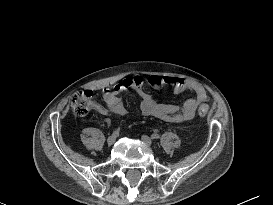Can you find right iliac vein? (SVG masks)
<instances>
[{
  "label": "right iliac vein",
  "mask_w": 273,
  "mask_h": 205,
  "mask_svg": "<svg viewBox=\"0 0 273 205\" xmlns=\"http://www.w3.org/2000/svg\"><path fill=\"white\" fill-rule=\"evenodd\" d=\"M115 141H116V136L115 135H111L107 139V144L108 145H112V144H114Z\"/></svg>",
  "instance_id": "63e3f726"
}]
</instances>
